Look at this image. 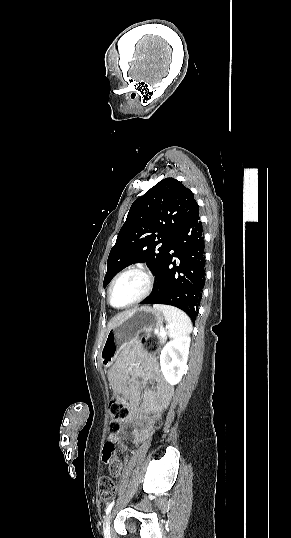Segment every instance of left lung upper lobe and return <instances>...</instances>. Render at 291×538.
I'll list each match as a JSON object with an SVG mask.
<instances>
[{"mask_svg":"<svg viewBox=\"0 0 291 538\" xmlns=\"http://www.w3.org/2000/svg\"><path fill=\"white\" fill-rule=\"evenodd\" d=\"M198 209L193 193L174 178L136 199L110 251L103 286L135 262H146L155 274L174 236Z\"/></svg>","mask_w":291,"mask_h":538,"instance_id":"5c2ea615","label":"left lung upper lobe"}]
</instances>
